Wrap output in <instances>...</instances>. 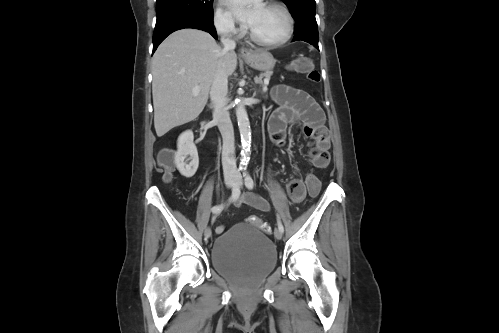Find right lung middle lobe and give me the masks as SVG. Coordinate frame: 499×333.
<instances>
[{
  "label": "right lung middle lobe",
  "instance_id": "right-lung-middle-lobe-1",
  "mask_svg": "<svg viewBox=\"0 0 499 333\" xmlns=\"http://www.w3.org/2000/svg\"><path fill=\"white\" fill-rule=\"evenodd\" d=\"M212 4L213 0H157L156 23L177 16H190L212 20Z\"/></svg>",
  "mask_w": 499,
  "mask_h": 333
}]
</instances>
